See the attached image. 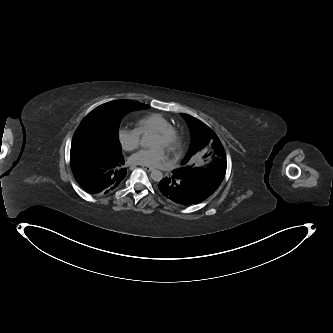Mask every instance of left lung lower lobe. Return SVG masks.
<instances>
[{
    "label": "left lung lower lobe",
    "mask_w": 333,
    "mask_h": 333,
    "mask_svg": "<svg viewBox=\"0 0 333 333\" xmlns=\"http://www.w3.org/2000/svg\"><path fill=\"white\" fill-rule=\"evenodd\" d=\"M158 188L164 197L184 206L200 203L213 194L203 185L179 175L176 171L162 179Z\"/></svg>",
    "instance_id": "left-lung-lower-lobe-1"
}]
</instances>
